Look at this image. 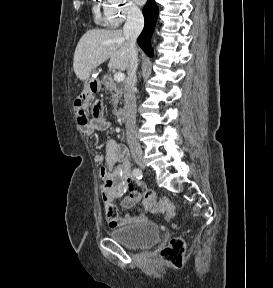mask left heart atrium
I'll return each instance as SVG.
<instances>
[{
  "mask_svg": "<svg viewBox=\"0 0 273 288\" xmlns=\"http://www.w3.org/2000/svg\"><path fill=\"white\" fill-rule=\"evenodd\" d=\"M146 0H136L138 4H143Z\"/></svg>",
  "mask_w": 273,
  "mask_h": 288,
  "instance_id": "39dd6f15",
  "label": "left heart atrium"
}]
</instances>
